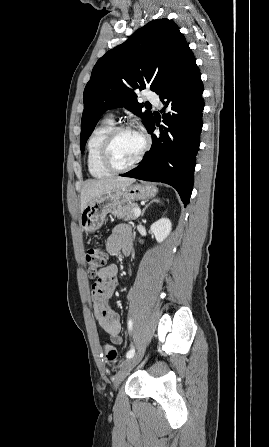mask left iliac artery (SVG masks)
Returning a JSON list of instances; mask_svg holds the SVG:
<instances>
[{
	"instance_id": "obj_1",
	"label": "left iliac artery",
	"mask_w": 269,
	"mask_h": 447,
	"mask_svg": "<svg viewBox=\"0 0 269 447\" xmlns=\"http://www.w3.org/2000/svg\"><path fill=\"white\" fill-rule=\"evenodd\" d=\"M132 320H129V322H128V328H129V330H132ZM134 354H135V349L133 348V349H131L130 351H128L127 352V354H126V357L127 358H131V357H133L134 356Z\"/></svg>"
}]
</instances>
